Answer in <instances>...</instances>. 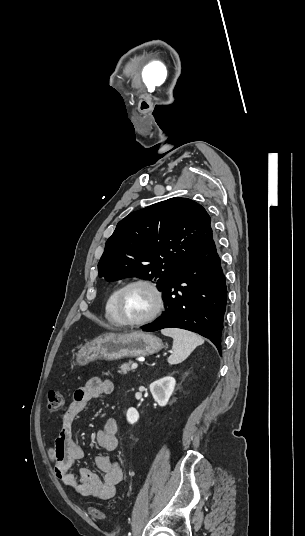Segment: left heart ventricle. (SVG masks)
Returning a JSON list of instances; mask_svg holds the SVG:
<instances>
[{
	"label": "left heart ventricle",
	"instance_id": "b2bd125f",
	"mask_svg": "<svg viewBox=\"0 0 305 536\" xmlns=\"http://www.w3.org/2000/svg\"><path fill=\"white\" fill-rule=\"evenodd\" d=\"M156 304L153 292L146 286L128 288L122 300V313L126 321H138L149 315Z\"/></svg>",
	"mask_w": 305,
	"mask_h": 536
}]
</instances>
